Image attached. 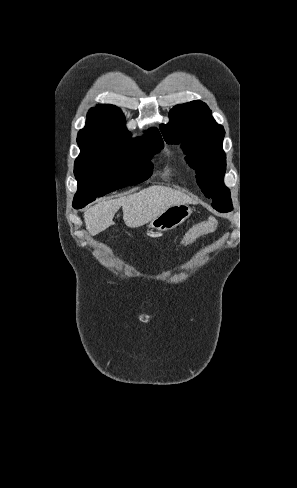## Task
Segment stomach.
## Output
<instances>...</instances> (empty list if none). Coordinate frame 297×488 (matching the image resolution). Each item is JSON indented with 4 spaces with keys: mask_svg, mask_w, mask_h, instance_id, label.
Returning <instances> with one entry per match:
<instances>
[{
    "mask_svg": "<svg viewBox=\"0 0 297 488\" xmlns=\"http://www.w3.org/2000/svg\"><path fill=\"white\" fill-rule=\"evenodd\" d=\"M192 214L188 204H175L159 216L150 221L149 228L157 231H167L182 224Z\"/></svg>",
    "mask_w": 297,
    "mask_h": 488,
    "instance_id": "0dacf381",
    "label": "stomach"
}]
</instances>
